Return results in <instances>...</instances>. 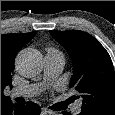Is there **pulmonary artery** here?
Here are the masks:
<instances>
[{
    "instance_id": "pulmonary-artery-1",
    "label": "pulmonary artery",
    "mask_w": 115,
    "mask_h": 115,
    "mask_svg": "<svg viewBox=\"0 0 115 115\" xmlns=\"http://www.w3.org/2000/svg\"><path fill=\"white\" fill-rule=\"evenodd\" d=\"M65 64V59L62 53L49 50L44 59V76L45 81H52L54 80L59 73L62 71ZM41 90V85L38 84H31L26 85L23 87L16 88L12 91V96L17 97H33L37 95ZM81 111V103H76L73 106V112L79 113Z\"/></svg>"
}]
</instances>
